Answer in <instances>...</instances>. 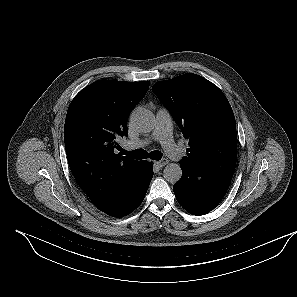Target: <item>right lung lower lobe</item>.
<instances>
[{"mask_svg": "<svg viewBox=\"0 0 297 297\" xmlns=\"http://www.w3.org/2000/svg\"><path fill=\"white\" fill-rule=\"evenodd\" d=\"M143 162V173L130 187L119 203L105 213L112 217H123L133 212L143 201L153 177L152 164Z\"/></svg>", "mask_w": 297, "mask_h": 297, "instance_id": "right-lung-lower-lobe-1", "label": "right lung lower lobe"}]
</instances>
